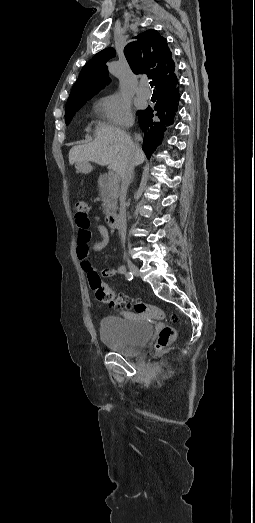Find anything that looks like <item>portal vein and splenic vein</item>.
Instances as JSON below:
<instances>
[{"label":"portal vein and splenic vein","instance_id":"portal-vein-and-splenic-vein-1","mask_svg":"<svg viewBox=\"0 0 255 523\" xmlns=\"http://www.w3.org/2000/svg\"><path fill=\"white\" fill-rule=\"evenodd\" d=\"M109 173H110L111 175L116 174V169H115V167H112V168L109 170Z\"/></svg>","mask_w":255,"mask_h":523}]
</instances>
